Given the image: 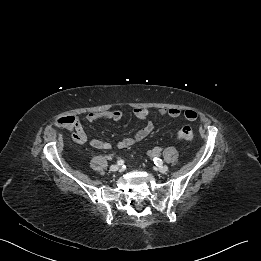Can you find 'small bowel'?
<instances>
[{
	"mask_svg": "<svg viewBox=\"0 0 261 261\" xmlns=\"http://www.w3.org/2000/svg\"><path fill=\"white\" fill-rule=\"evenodd\" d=\"M160 115L167 116L170 118H177L183 114L184 118L188 121H195L197 119V113L192 109H187L182 112L179 108H162L159 111ZM133 115L139 119L145 121V125L139 129L133 136L126 137L117 143L119 149L129 148L137 142H140L147 138L154 130V124L149 120V111L145 108H136L133 110ZM74 117V116H73ZM123 112L121 110H109V111H98L89 113L86 116V120L89 123H93L99 120H111L118 122L122 119ZM66 129L71 133V137L74 142L78 144H84L88 141L87 134L84 130L83 124L79 117H74L72 125L67 126ZM90 145L99 150H109L111 144L104 140L94 138L90 140ZM152 154H158L155 150Z\"/></svg>",
	"mask_w": 261,
	"mask_h": 261,
	"instance_id": "obj_1",
	"label": "small bowel"
}]
</instances>
